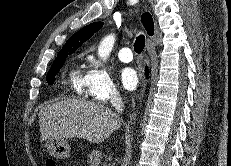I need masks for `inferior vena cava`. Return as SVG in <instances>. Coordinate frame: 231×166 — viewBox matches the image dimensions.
<instances>
[{
	"label": "inferior vena cava",
	"instance_id": "obj_1",
	"mask_svg": "<svg viewBox=\"0 0 231 166\" xmlns=\"http://www.w3.org/2000/svg\"><path fill=\"white\" fill-rule=\"evenodd\" d=\"M111 104L117 110L118 113H122L124 110V104L119 93L111 94Z\"/></svg>",
	"mask_w": 231,
	"mask_h": 166
}]
</instances>
